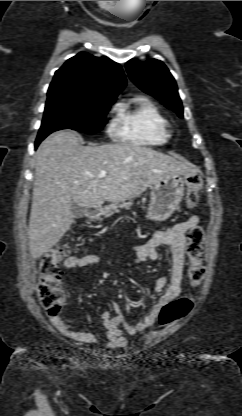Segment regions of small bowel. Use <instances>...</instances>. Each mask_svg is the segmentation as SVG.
I'll return each instance as SVG.
<instances>
[{"instance_id":"small-bowel-1","label":"small bowel","mask_w":242,"mask_h":416,"mask_svg":"<svg viewBox=\"0 0 242 416\" xmlns=\"http://www.w3.org/2000/svg\"><path fill=\"white\" fill-rule=\"evenodd\" d=\"M199 222V217L192 215L188 219L176 223L167 231L152 230L147 242L131 247L132 253L127 254V258L134 263H142L148 259L158 258V247L168 245L172 251V267L169 276H161L155 281L153 287L154 292H164L141 321L134 325L129 324L116 302H113L115 315H112L108 311L102 313L101 319L108 339V348L117 349L125 347L127 338L122 334L121 327L130 335L145 331L155 323L162 307L174 301L181 294L186 234L192 227L198 225ZM101 264V258L96 255H71L64 260L63 267L65 269L85 268L99 266ZM50 319L56 329L66 338L82 344L94 343L98 340L97 335L93 332L73 330L60 316L50 317Z\"/></svg>"}]
</instances>
